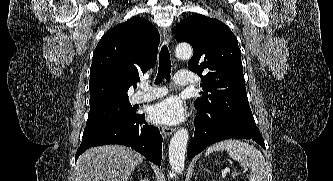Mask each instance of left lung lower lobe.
Listing matches in <instances>:
<instances>
[{
  "instance_id": "obj_1",
  "label": "left lung lower lobe",
  "mask_w": 333,
  "mask_h": 181,
  "mask_svg": "<svg viewBox=\"0 0 333 181\" xmlns=\"http://www.w3.org/2000/svg\"><path fill=\"white\" fill-rule=\"evenodd\" d=\"M195 133L188 146V159L207 146L230 138L251 139L265 149V144L255 122L241 116L213 108H197Z\"/></svg>"
}]
</instances>
